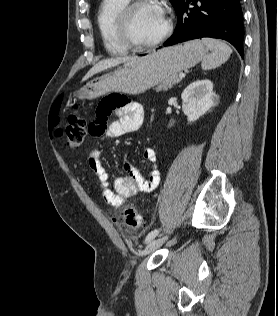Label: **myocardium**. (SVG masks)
<instances>
[{
	"instance_id": "obj_1",
	"label": "myocardium",
	"mask_w": 278,
	"mask_h": 316,
	"mask_svg": "<svg viewBox=\"0 0 278 316\" xmlns=\"http://www.w3.org/2000/svg\"><path fill=\"white\" fill-rule=\"evenodd\" d=\"M146 4H153L151 0H132V2L128 3L119 13L117 18V28L120 35V38L128 46V48L134 50H145L154 48L161 43H163L171 34L173 29L172 19L164 13L166 26L164 31L161 33L159 37L151 42H139L137 41L131 30V20L134 12L141 6Z\"/></svg>"
}]
</instances>
